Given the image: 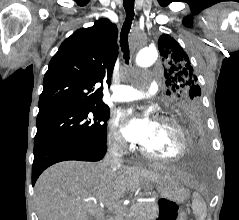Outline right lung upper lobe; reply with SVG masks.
I'll return each mask as SVG.
<instances>
[{
	"label": "right lung upper lobe",
	"mask_w": 239,
	"mask_h": 220,
	"mask_svg": "<svg viewBox=\"0 0 239 220\" xmlns=\"http://www.w3.org/2000/svg\"><path fill=\"white\" fill-rule=\"evenodd\" d=\"M117 27L100 19L75 31L52 57L44 76L39 111L87 105H105L103 85L110 79L118 56Z\"/></svg>",
	"instance_id": "obj_1"
}]
</instances>
